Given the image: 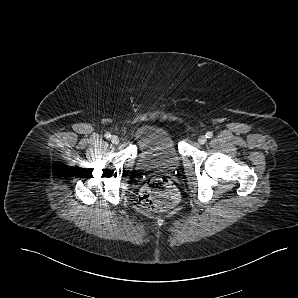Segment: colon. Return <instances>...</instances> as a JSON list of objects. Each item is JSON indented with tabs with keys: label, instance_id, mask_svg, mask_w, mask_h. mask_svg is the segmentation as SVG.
Masks as SVG:
<instances>
[{
	"label": "colon",
	"instance_id": "colon-1",
	"mask_svg": "<svg viewBox=\"0 0 298 298\" xmlns=\"http://www.w3.org/2000/svg\"><path fill=\"white\" fill-rule=\"evenodd\" d=\"M178 201V193L170 180L165 177L152 178L141 189L140 204L149 211L165 212Z\"/></svg>",
	"mask_w": 298,
	"mask_h": 298
}]
</instances>
